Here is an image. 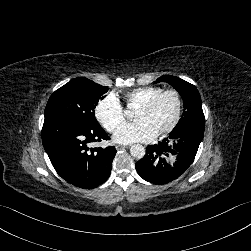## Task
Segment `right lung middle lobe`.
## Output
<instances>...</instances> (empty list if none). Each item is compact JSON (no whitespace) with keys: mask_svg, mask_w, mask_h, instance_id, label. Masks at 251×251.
<instances>
[{"mask_svg":"<svg viewBox=\"0 0 251 251\" xmlns=\"http://www.w3.org/2000/svg\"><path fill=\"white\" fill-rule=\"evenodd\" d=\"M108 87L99 85L85 77H78L56 90L45 108V118L65 117L80 123L96 121L94 109Z\"/></svg>","mask_w":251,"mask_h":251,"instance_id":"obj_1","label":"right lung middle lobe"}]
</instances>
